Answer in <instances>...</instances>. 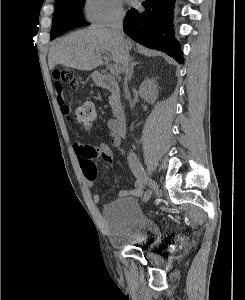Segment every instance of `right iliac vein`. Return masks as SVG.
<instances>
[{"label": "right iliac vein", "instance_id": "obj_1", "mask_svg": "<svg viewBox=\"0 0 245 300\" xmlns=\"http://www.w3.org/2000/svg\"><path fill=\"white\" fill-rule=\"evenodd\" d=\"M150 187L154 190V192H158V186L154 181L151 182Z\"/></svg>", "mask_w": 245, "mask_h": 300}]
</instances>
